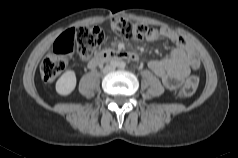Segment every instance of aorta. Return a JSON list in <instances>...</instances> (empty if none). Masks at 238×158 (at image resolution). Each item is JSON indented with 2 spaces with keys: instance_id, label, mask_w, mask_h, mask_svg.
<instances>
[{
  "instance_id": "762f6f07",
  "label": "aorta",
  "mask_w": 238,
  "mask_h": 158,
  "mask_svg": "<svg viewBox=\"0 0 238 158\" xmlns=\"http://www.w3.org/2000/svg\"><path fill=\"white\" fill-rule=\"evenodd\" d=\"M125 65H126V64H125L124 61H121V62L118 63V66H119L120 68H124Z\"/></svg>"
}]
</instances>
